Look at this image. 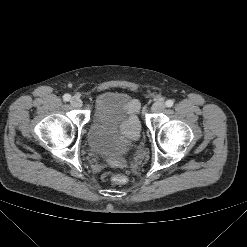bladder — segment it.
<instances>
[{"mask_svg": "<svg viewBox=\"0 0 247 247\" xmlns=\"http://www.w3.org/2000/svg\"><path fill=\"white\" fill-rule=\"evenodd\" d=\"M134 99L126 93L106 91L97 99V114L88 133V144L92 153L114 159L125 146L115 142L111 136L121 135L130 144L140 135V125L129 127Z\"/></svg>", "mask_w": 247, "mask_h": 247, "instance_id": "obj_1", "label": "bladder"}]
</instances>
